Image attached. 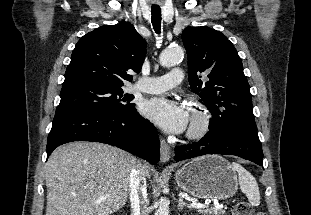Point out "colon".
Here are the masks:
<instances>
[{"mask_svg": "<svg viewBox=\"0 0 311 215\" xmlns=\"http://www.w3.org/2000/svg\"><path fill=\"white\" fill-rule=\"evenodd\" d=\"M233 215H266L262 211H256L248 202H238L233 206Z\"/></svg>", "mask_w": 311, "mask_h": 215, "instance_id": "obj_1", "label": "colon"}]
</instances>
